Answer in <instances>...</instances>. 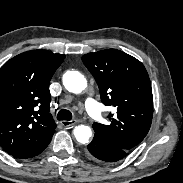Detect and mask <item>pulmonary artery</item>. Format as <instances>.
<instances>
[{"label":"pulmonary artery","instance_id":"obj_1","mask_svg":"<svg viewBox=\"0 0 183 183\" xmlns=\"http://www.w3.org/2000/svg\"><path fill=\"white\" fill-rule=\"evenodd\" d=\"M85 108L88 114L96 121L101 119L100 105L93 98H87L85 101Z\"/></svg>","mask_w":183,"mask_h":183}]
</instances>
